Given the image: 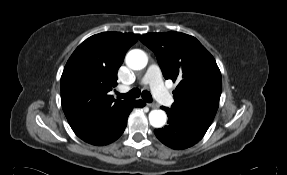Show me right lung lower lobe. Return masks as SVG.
<instances>
[{
    "label": "right lung lower lobe",
    "mask_w": 287,
    "mask_h": 175,
    "mask_svg": "<svg viewBox=\"0 0 287 175\" xmlns=\"http://www.w3.org/2000/svg\"><path fill=\"white\" fill-rule=\"evenodd\" d=\"M145 102L142 100H131L116 116L114 121L108 126L102 128L92 136L82 139L83 141L96 145L103 146L117 140L125 130L127 118L134 107H144Z\"/></svg>",
    "instance_id": "right-lung-lower-lobe-1"
}]
</instances>
